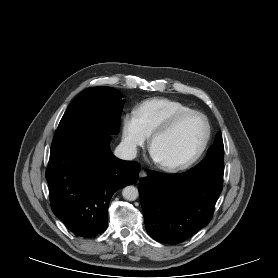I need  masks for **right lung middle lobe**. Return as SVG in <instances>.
<instances>
[{"label":"right lung middle lobe","mask_w":278,"mask_h":278,"mask_svg":"<svg viewBox=\"0 0 278 278\" xmlns=\"http://www.w3.org/2000/svg\"><path fill=\"white\" fill-rule=\"evenodd\" d=\"M121 98L118 90L106 86L82 91L64 113L51 147L92 134H118Z\"/></svg>","instance_id":"obj_1"}]
</instances>
